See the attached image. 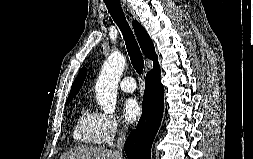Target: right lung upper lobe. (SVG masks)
I'll return each mask as SVG.
<instances>
[{"instance_id":"right-lung-upper-lobe-1","label":"right lung upper lobe","mask_w":253,"mask_h":159,"mask_svg":"<svg viewBox=\"0 0 253 159\" xmlns=\"http://www.w3.org/2000/svg\"><path fill=\"white\" fill-rule=\"evenodd\" d=\"M132 26L135 31L137 40L139 42V45L142 49L143 54L147 58L153 60V64H154L153 70L159 69V64L157 62V55L155 53L154 45L148 33L146 32L144 27H142V25L138 23L137 21H133ZM86 74H87V69L82 68L72 84L70 94L67 100H72L76 96V94L79 92V89L81 88L86 78Z\"/></svg>"}]
</instances>
